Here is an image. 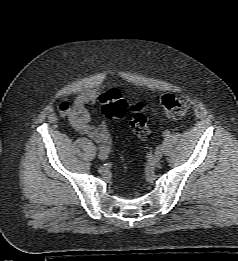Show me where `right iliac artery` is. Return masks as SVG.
I'll list each match as a JSON object with an SVG mask.
<instances>
[{
    "label": "right iliac artery",
    "mask_w": 238,
    "mask_h": 261,
    "mask_svg": "<svg viewBox=\"0 0 238 261\" xmlns=\"http://www.w3.org/2000/svg\"><path fill=\"white\" fill-rule=\"evenodd\" d=\"M98 148L101 150V151H105V152H110V148L105 146V145H99Z\"/></svg>",
    "instance_id": "obj_1"
}]
</instances>
